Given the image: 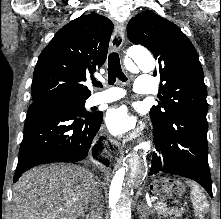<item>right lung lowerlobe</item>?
Returning a JSON list of instances; mask_svg holds the SVG:
<instances>
[{"instance_id": "1", "label": "right lung lower lobe", "mask_w": 221, "mask_h": 219, "mask_svg": "<svg viewBox=\"0 0 221 219\" xmlns=\"http://www.w3.org/2000/svg\"><path fill=\"white\" fill-rule=\"evenodd\" d=\"M102 112L81 116L63 104L29 106L14 182L28 169L52 162H77L107 149L97 138ZM104 164L107 160H101Z\"/></svg>"}]
</instances>
